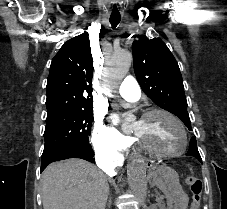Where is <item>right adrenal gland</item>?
Instances as JSON below:
<instances>
[{
	"mask_svg": "<svg viewBox=\"0 0 227 209\" xmlns=\"http://www.w3.org/2000/svg\"><path fill=\"white\" fill-rule=\"evenodd\" d=\"M109 205H111V201H109Z\"/></svg>",
	"mask_w": 227,
	"mask_h": 209,
	"instance_id": "right-adrenal-gland-1",
	"label": "right adrenal gland"
}]
</instances>
